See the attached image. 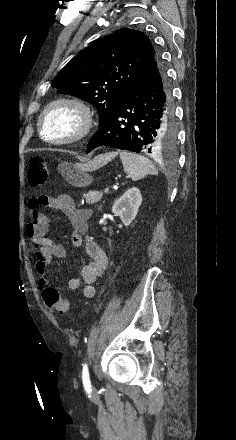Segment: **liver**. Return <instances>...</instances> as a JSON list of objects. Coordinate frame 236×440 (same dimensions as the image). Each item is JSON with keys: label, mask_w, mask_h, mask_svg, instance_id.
Masks as SVG:
<instances>
[{"label": "liver", "mask_w": 236, "mask_h": 440, "mask_svg": "<svg viewBox=\"0 0 236 440\" xmlns=\"http://www.w3.org/2000/svg\"><path fill=\"white\" fill-rule=\"evenodd\" d=\"M112 157H113L112 154L100 155V156L96 157L93 160V162H90V163L96 169V168L104 165L105 163H107Z\"/></svg>", "instance_id": "obj_1"}]
</instances>
